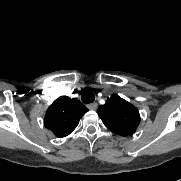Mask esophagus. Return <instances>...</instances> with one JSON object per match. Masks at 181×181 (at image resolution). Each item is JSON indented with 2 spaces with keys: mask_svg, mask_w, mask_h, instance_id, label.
Wrapping results in <instances>:
<instances>
[{
  "mask_svg": "<svg viewBox=\"0 0 181 181\" xmlns=\"http://www.w3.org/2000/svg\"><path fill=\"white\" fill-rule=\"evenodd\" d=\"M88 109L90 110H96L97 108V103H90L87 105Z\"/></svg>",
  "mask_w": 181,
  "mask_h": 181,
  "instance_id": "obj_1",
  "label": "esophagus"
}]
</instances>
